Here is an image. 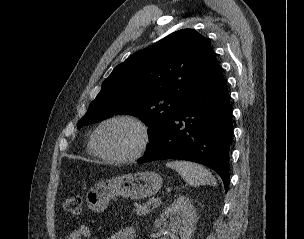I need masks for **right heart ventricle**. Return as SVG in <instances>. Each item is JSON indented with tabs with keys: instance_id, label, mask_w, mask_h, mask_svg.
I'll list each match as a JSON object with an SVG mask.
<instances>
[{
	"instance_id": "right-heart-ventricle-1",
	"label": "right heart ventricle",
	"mask_w": 304,
	"mask_h": 239,
	"mask_svg": "<svg viewBox=\"0 0 304 239\" xmlns=\"http://www.w3.org/2000/svg\"><path fill=\"white\" fill-rule=\"evenodd\" d=\"M88 149H89V153H90L91 155L97 156L96 153L94 152V150L92 149V146H91L90 142H89V145H88Z\"/></svg>"
}]
</instances>
